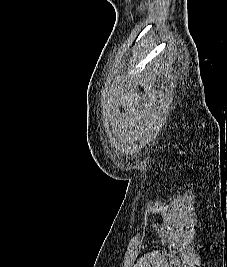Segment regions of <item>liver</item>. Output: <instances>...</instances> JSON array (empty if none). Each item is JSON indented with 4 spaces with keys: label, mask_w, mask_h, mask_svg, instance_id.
Returning a JSON list of instances; mask_svg holds the SVG:
<instances>
[{
    "label": "liver",
    "mask_w": 227,
    "mask_h": 267,
    "mask_svg": "<svg viewBox=\"0 0 227 267\" xmlns=\"http://www.w3.org/2000/svg\"><path fill=\"white\" fill-rule=\"evenodd\" d=\"M139 100H141V96L136 91L131 90L126 93L121 91L119 93L118 105H122L125 110V113L122 114L123 127L134 124L135 118L133 116H136V108Z\"/></svg>",
    "instance_id": "liver-1"
}]
</instances>
